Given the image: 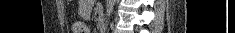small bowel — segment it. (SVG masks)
Here are the masks:
<instances>
[{
	"mask_svg": "<svg viewBox=\"0 0 235 33\" xmlns=\"http://www.w3.org/2000/svg\"><path fill=\"white\" fill-rule=\"evenodd\" d=\"M87 8H88V5H86V3H83V5L80 7V10H81V11H84V10H86ZM98 10H99V12L101 11L100 8H98Z\"/></svg>",
	"mask_w": 235,
	"mask_h": 33,
	"instance_id": "c3829d8e",
	"label": "small bowel"
}]
</instances>
